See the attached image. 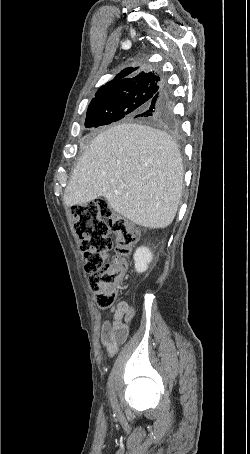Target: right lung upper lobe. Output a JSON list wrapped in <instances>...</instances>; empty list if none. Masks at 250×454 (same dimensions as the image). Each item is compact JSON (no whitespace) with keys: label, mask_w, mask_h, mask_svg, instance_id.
<instances>
[{"label":"right lung upper lobe","mask_w":250,"mask_h":454,"mask_svg":"<svg viewBox=\"0 0 250 454\" xmlns=\"http://www.w3.org/2000/svg\"><path fill=\"white\" fill-rule=\"evenodd\" d=\"M163 86V81L159 74L154 71H141L139 67H129L121 71L116 77L101 86L91 102H96L103 98H119L122 94L141 85Z\"/></svg>","instance_id":"obj_1"}]
</instances>
